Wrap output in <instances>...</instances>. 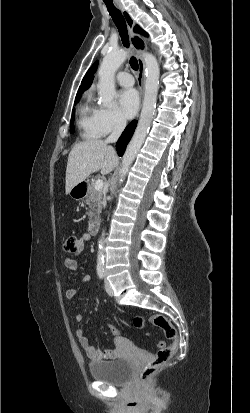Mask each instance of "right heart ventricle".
I'll return each mask as SVG.
<instances>
[{
  "mask_svg": "<svg viewBox=\"0 0 250 413\" xmlns=\"http://www.w3.org/2000/svg\"><path fill=\"white\" fill-rule=\"evenodd\" d=\"M77 124L83 139H95L101 136L97 124V108L91 102L90 92L86 93L79 107Z\"/></svg>",
  "mask_w": 250,
  "mask_h": 413,
  "instance_id": "obj_1",
  "label": "right heart ventricle"
}]
</instances>
